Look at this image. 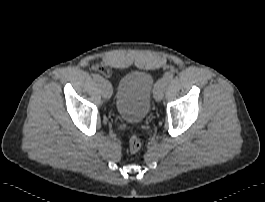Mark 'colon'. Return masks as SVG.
Instances as JSON below:
<instances>
[{
    "label": "colon",
    "instance_id": "1",
    "mask_svg": "<svg viewBox=\"0 0 265 202\" xmlns=\"http://www.w3.org/2000/svg\"><path fill=\"white\" fill-rule=\"evenodd\" d=\"M140 148H141L140 139L136 135L131 136V138L129 139L130 151L135 153V152H138L140 150Z\"/></svg>",
    "mask_w": 265,
    "mask_h": 202
}]
</instances>
